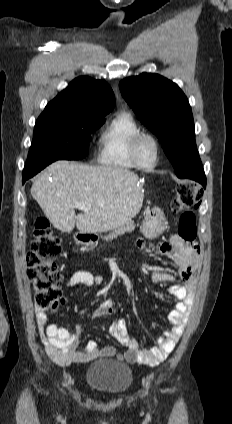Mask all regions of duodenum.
Instances as JSON below:
<instances>
[{
  "mask_svg": "<svg viewBox=\"0 0 232 424\" xmlns=\"http://www.w3.org/2000/svg\"><path fill=\"white\" fill-rule=\"evenodd\" d=\"M90 237L93 238V239H96V236L95 235H90Z\"/></svg>",
  "mask_w": 232,
  "mask_h": 424,
  "instance_id": "duodenum-1",
  "label": "duodenum"
}]
</instances>
